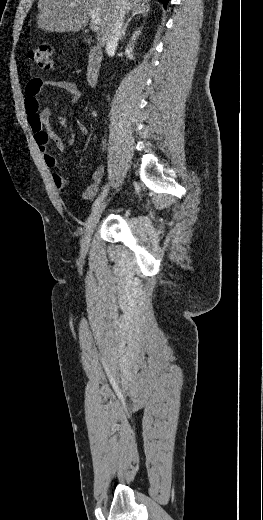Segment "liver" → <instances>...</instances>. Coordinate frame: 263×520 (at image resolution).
I'll return each mask as SVG.
<instances>
[{"mask_svg": "<svg viewBox=\"0 0 263 520\" xmlns=\"http://www.w3.org/2000/svg\"><path fill=\"white\" fill-rule=\"evenodd\" d=\"M118 0H39L38 28L48 32H78L86 27L89 11L101 17L98 41L105 45L113 25ZM150 0H127L129 11L149 7ZM74 4V6H71Z\"/></svg>", "mask_w": 263, "mask_h": 520, "instance_id": "obj_1", "label": "liver"}]
</instances>
